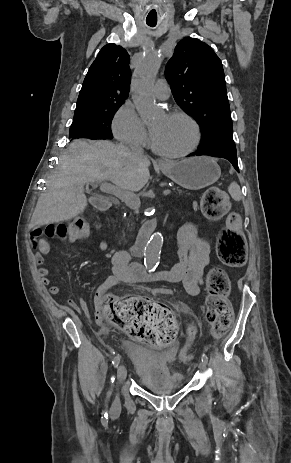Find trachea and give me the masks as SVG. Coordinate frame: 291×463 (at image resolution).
I'll return each instance as SVG.
<instances>
[{
    "label": "trachea",
    "instance_id": "1",
    "mask_svg": "<svg viewBox=\"0 0 291 463\" xmlns=\"http://www.w3.org/2000/svg\"><path fill=\"white\" fill-rule=\"evenodd\" d=\"M147 25L150 26V27H155L156 26V23H153V22H147Z\"/></svg>",
    "mask_w": 291,
    "mask_h": 463
}]
</instances>
